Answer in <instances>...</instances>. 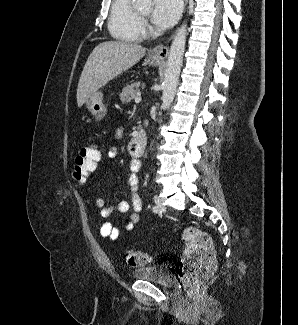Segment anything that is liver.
I'll list each match as a JSON object with an SVG mask.
<instances>
[{
	"instance_id": "1",
	"label": "liver",
	"mask_w": 298,
	"mask_h": 325,
	"mask_svg": "<svg viewBox=\"0 0 298 325\" xmlns=\"http://www.w3.org/2000/svg\"><path fill=\"white\" fill-rule=\"evenodd\" d=\"M146 50L138 42L124 40H105L94 46L78 80L76 98L79 108L96 90L137 64L145 56Z\"/></svg>"
}]
</instances>
